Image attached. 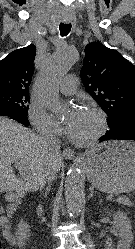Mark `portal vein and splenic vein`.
I'll list each match as a JSON object with an SVG mask.
<instances>
[{
  "instance_id": "obj_1",
  "label": "portal vein and splenic vein",
  "mask_w": 135,
  "mask_h": 249,
  "mask_svg": "<svg viewBox=\"0 0 135 249\" xmlns=\"http://www.w3.org/2000/svg\"><path fill=\"white\" fill-rule=\"evenodd\" d=\"M17 166L21 169V170H26V167H25V165L24 164H22V163H18L17 164ZM112 196L111 195H109V196H107L106 198L107 199H110Z\"/></svg>"
}]
</instances>
